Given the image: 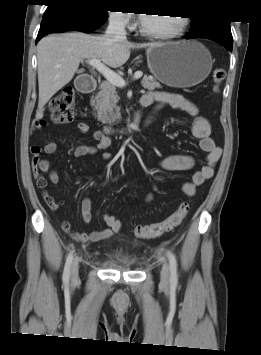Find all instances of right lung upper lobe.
<instances>
[{
	"label": "right lung upper lobe",
	"instance_id": "obj_1",
	"mask_svg": "<svg viewBox=\"0 0 261 355\" xmlns=\"http://www.w3.org/2000/svg\"><path fill=\"white\" fill-rule=\"evenodd\" d=\"M49 4H56V3H74L80 2L83 0H47Z\"/></svg>",
	"mask_w": 261,
	"mask_h": 355
}]
</instances>
